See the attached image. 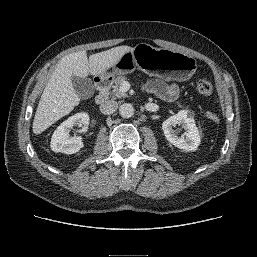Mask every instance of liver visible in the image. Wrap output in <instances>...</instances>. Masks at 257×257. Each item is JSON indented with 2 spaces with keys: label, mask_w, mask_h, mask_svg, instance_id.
Here are the masks:
<instances>
[{
  "label": "liver",
  "mask_w": 257,
  "mask_h": 257,
  "mask_svg": "<svg viewBox=\"0 0 257 257\" xmlns=\"http://www.w3.org/2000/svg\"><path fill=\"white\" fill-rule=\"evenodd\" d=\"M130 46H118L87 57L85 50L66 55L51 75L41 95L33 120V133L38 135L69 114L80 103L72 76L87 78L103 75L126 53Z\"/></svg>",
  "instance_id": "1"
}]
</instances>
